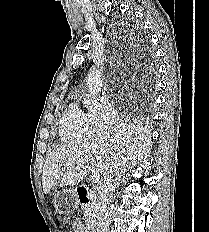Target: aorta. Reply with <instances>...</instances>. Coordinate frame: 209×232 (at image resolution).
Wrapping results in <instances>:
<instances>
[{"label": "aorta", "instance_id": "762f6f07", "mask_svg": "<svg viewBox=\"0 0 209 232\" xmlns=\"http://www.w3.org/2000/svg\"><path fill=\"white\" fill-rule=\"evenodd\" d=\"M87 82L90 94L92 96H96L99 94L102 88V75L100 70L93 66L90 68L88 75H87Z\"/></svg>", "mask_w": 209, "mask_h": 232}]
</instances>
